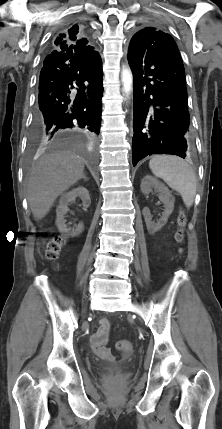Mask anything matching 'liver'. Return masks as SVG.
<instances>
[{
    "mask_svg": "<svg viewBox=\"0 0 222 429\" xmlns=\"http://www.w3.org/2000/svg\"><path fill=\"white\" fill-rule=\"evenodd\" d=\"M84 160L71 151L43 155L27 179V200L36 220L44 218L56 198L84 176Z\"/></svg>",
    "mask_w": 222,
    "mask_h": 429,
    "instance_id": "liver-1",
    "label": "liver"
}]
</instances>
